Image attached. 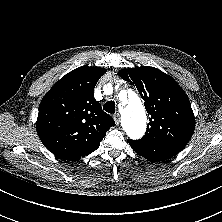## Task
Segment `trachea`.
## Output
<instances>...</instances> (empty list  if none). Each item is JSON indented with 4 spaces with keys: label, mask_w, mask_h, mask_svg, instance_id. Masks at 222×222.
<instances>
[{
    "label": "trachea",
    "mask_w": 222,
    "mask_h": 222,
    "mask_svg": "<svg viewBox=\"0 0 222 222\" xmlns=\"http://www.w3.org/2000/svg\"><path fill=\"white\" fill-rule=\"evenodd\" d=\"M115 102L114 101H108L104 104L103 109L108 112L109 114L115 113Z\"/></svg>",
    "instance_id": "trachea-1"
}]
</instances>
